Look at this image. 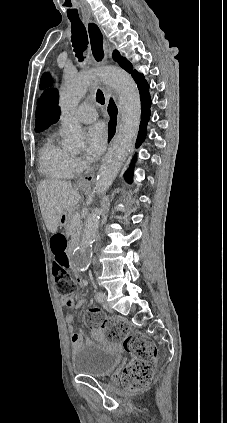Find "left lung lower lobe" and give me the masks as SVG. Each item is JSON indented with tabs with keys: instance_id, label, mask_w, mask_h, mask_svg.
Wrapping results in <instances>:
<instances>
[{
	"instance_id": "0a47b994",
	"label": "left lung lower lobe",
	"mask_w": 227,
	"mask_h": 423,
	"mask_svg": "<svg viewBox=\"0 0 227 423\" xmlns=\"http://www.w3.org/2000/svg\"><path fill=\"white\" fill-rule=\"evenodd\" d=\"M138 89L140 91V100H141V122L138 132V137L136 140V148H138L141 143L144 141L146 136V126L150 118V106L151 99L149 95V86L144 76H142L138 81H136ZM134 162V161H133ZM127 182L132 181V167L124 175Z\"/></svg>"
}]
</instances>
